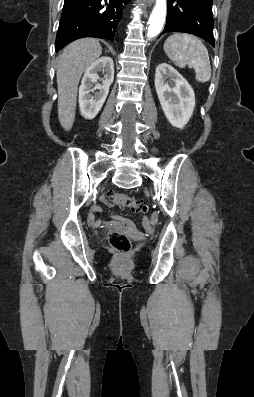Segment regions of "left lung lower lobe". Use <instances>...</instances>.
I'll return each mask as SVG.
<instances>
[{
    "instance_id": "left-lung-lower-lobe-1",
    "label": "left lung lower lobe",
    "mask_w": 254,
    "mask_h": 397,
    "mask_svg": "<svg viewBox=\"0 0 254 397\" xmlns=\"http://www.w3.org/2000/svg\"><path fill=\"white\" fill-rule=\"evenodd\" d=\"M171 31L197 35L214 46L212 0H171L162 34Z\"/></svg>"
}]
</instances>
